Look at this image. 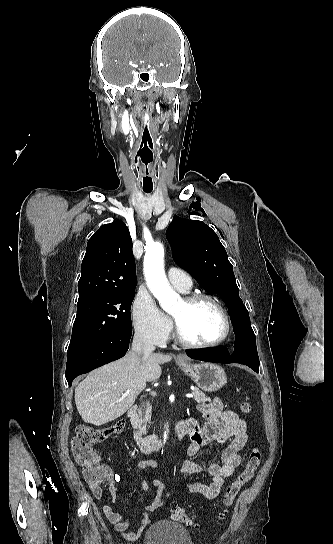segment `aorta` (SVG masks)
Returning a JSON list of instances; mask_svg holds the SVG:
<instances>
[{"mask_svg":"<svg viewBox=\"0 0 333 544\" xmlns=\"http://www.w3.org/2000/svg\"><path fill=\"white\" fill-rule=\"evenodd\" d=\"M163 259L162 244L155 243L148 247L144 257V271L148 288L159 301L161 308L169 312L179 302L180 297L169 285L163 268Z\"/></svg>","mask_w":333,"mask_h":544,"instance_id":"obj_1","label":"aorta"}]
</instances>
